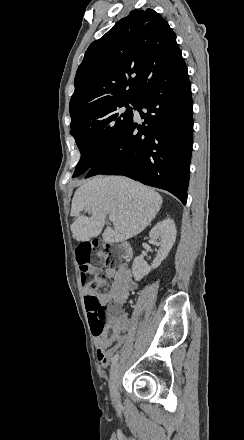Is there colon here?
Returning <instances> with one entry per match:
<instances>
[{
    "instance_id": "obj_1",
    "label": "colon",
    "mask_w": 244,
    "mask_h": 440,
    "mask_svg": "<svg viewBox=\"0 0 244 440\" xmlns=\"http://www.w3.org/2000/svg\"><path fill=\"white\" fill-rule=\"evenodd\" d=\"M95 244V245H94ZM74 260L77 263V270L81 274L88 273L84 282L87 288L86 304L83 305V312L87 313L88 319H106L114 321L115 327L120 330L125 326V319L118 314H123V305L97 304L98 286L105 281L102 277V270L109 272L112 267H119L123 255L122 248H101L100 241H90L79 248H75ZM106 257H109L106 259Z\"/></svg>"
}]
</instances>
